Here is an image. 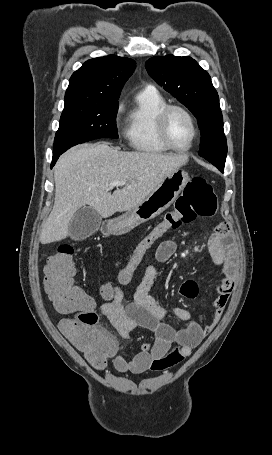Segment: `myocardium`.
<instances>
[{
	"label": "myocardium",
	"mask_w": 272,
	"mask_h": 455,
	"mask_svg": "<svg viewBox=\"0 0 272 455\" xmlns=\"http://www.w3.org/2000/svg\"><path fill=\"white\" fill-rule=\"evenodd\" d=\"M174 110L181 111L184 113L187 118L189 119L192 130H193V136L190 141V143L185 146V147H178L173 142L171 141L169 134H168V129H167V121L170 113ZM156 127H157V133L162 141V143L170 150L176 151V152H187L189 151L195 144L198 135H199V129L198 125L196 122V119L194 115L184 106L179 105V104H166L163 106L160 111L157 114L156 117Z\"/></svg>",
	"instance_id": "f54148a6"
}]
</instances>
